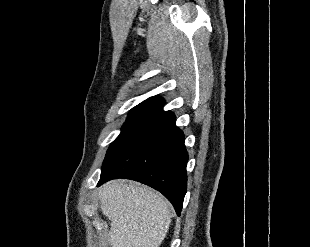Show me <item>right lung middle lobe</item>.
Returning a JSON list of instances; mask_svg holds the SVG:
<instances>
[{
    "label": "right lung middle lobe",
    "mask_w": 310,
    "mask_h": 247,
    "mask_svg": "<svg viewBox=\"0 0 310 247\" xmlns=\"http://www.w3.org/2000/svg\"><path fill=\"white\" fill-rule=\"evenodd\" d=\"M156 115V112L150 110H131L120 135L110 145L103 166L108 164L128 140Z\"/></svg>",
    "instance_id": "1"
}]
</instances>
